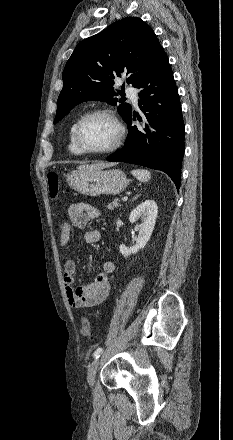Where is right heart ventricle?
<instances>
[{"mask_svg": "<svg viewBox=\"0 0 233 440\" xmlns=\"http://www.w3.org/2000/svg\"><path fill=\"white\" fill-rule=\"evenodd\" d=\"M78 120H79V118H77L76 120L73 121V123L71 124V126L69 128V134H68V136H69V139H68V150L73 155H81V153L76 148V146L74 144V139H73L74 128H75V125H76Z\"/></svg>", "mask_w": 233, "mask_h": 440, "instance_id": "1", "label": "right heart ventricle"}]
</instances>
